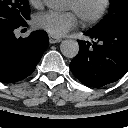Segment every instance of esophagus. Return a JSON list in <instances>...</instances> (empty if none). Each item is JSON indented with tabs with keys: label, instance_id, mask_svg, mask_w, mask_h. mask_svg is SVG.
I'll use <instances>...</instances> for the list:
<instances>
[{
	"label": "esophagus",
	"instance_id": "esophagus-1",
	"mask_svg": "<svg viewBox=\"0 0 128 128\" xmlns=\"http://www.w3.org/2000/svg\"><path fill=\"white\" fill-rule=\"evenodd\" d=\"M61 41L60 38L54 37L52 35H49V43L50 44H55V43H59Z\"/></svg>",
	"mask_w": 128,
	"mask_h": 128
}]
</instances>
